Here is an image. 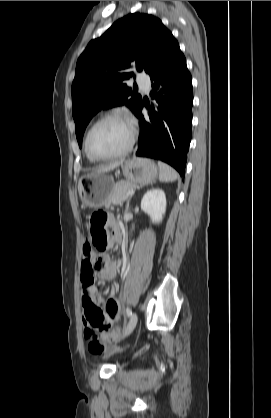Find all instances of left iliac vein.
Segmentation results:
<instances>
[{"mask_svg":"<svg viewBox=\"0 0 271 418\" xmlns=\"http://www.w3.org/2000/svg\"><path fill=\"white\" fill-rule=\"evenodd\" d=\"M137 320H138L137 314L133 313L129 319V322L127 323L124 329L123 338L128 336L134 330L137 324Z\"/></svg>","mask_w":271,"mask_h":418,"instance_id":"left-iliac-vein-1","label":"left iliac vein"}]
</instances>
